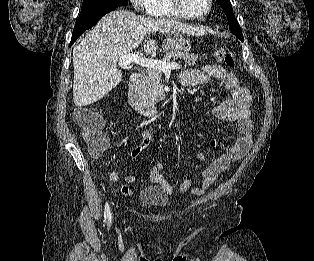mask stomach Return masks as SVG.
Listing matches in <instances>:
<instances>
[{"label":"stomach","mask_w":314,"mask_h":261,"mask_svg":"<svg viewBox=\"0 0 314 261\" xmlns=\"http://www.w3.org/2000/svg\"><path fill=\"white\" fill-rule=\"evenodd\" d=\"M167 49H174L180 52H189L191 45L189 40L184 38L180 33L171 34L165 41Z\"/></svg>","instance_id":"stomach-1"}]
</instances>
